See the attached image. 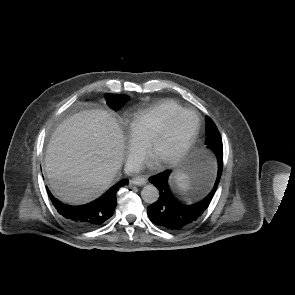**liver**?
I'll list each match as a JSON object with an SVG mask.
<instances>
[{"instance_id": "1", "label": "liver", "mask_w": 295, "mask_h": 295, "mask_svg": "<svg viewBox=\"0 0 295 295\" xmlns=\"http://www.w3.org/2000/svg\"><path fill=\"white\" fill-rule=\"evenodd\" d=\"M123 156V134L115 118L101 109L81 111L53 133L46 150V176L60 200L86 204L111 186Z\"/></svg>"}]
</instances>
